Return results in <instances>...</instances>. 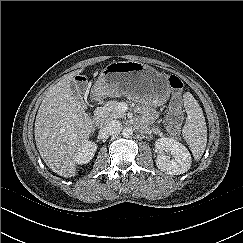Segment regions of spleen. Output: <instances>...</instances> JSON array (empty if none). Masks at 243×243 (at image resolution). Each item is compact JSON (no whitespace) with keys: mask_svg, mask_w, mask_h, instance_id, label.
<instances>
[{"mask_svg":"<svg viewBox=\"0 0 243 243\" xmlns=\"http://www.w3.org/2000/svg\"><path fill=\"white\" fill-rule=\"evenodd\" d=\"M184 106L187 112L186 123L182 134L187 141L193 156L200 159L207 144V126L202 108L191 93L184 94Z\"/></svg>","mask_w":243,"mask_h":243,"instance_id":"3e777b00","label":"spleen"}]
</instances>
